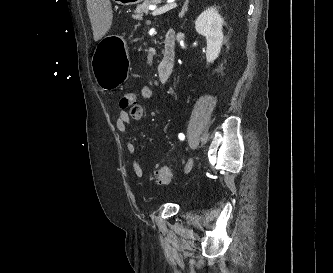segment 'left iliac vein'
Wrapping results in <instances>:
<instances>
[{
	"instance_id": "1",
	"label": "left iliac vein",
	"mask_w": 333,
	"mask_h": 273,
	"mask_svg": "<svg viewBox=\"0 0 333 273\" xmlns=\"http://www.w3.org/2000/svg\"><path fill=\"white\" fill-rule=\"evenodd\" d=\"M193 164H194V157H190V159L188 160V163L186 165V169H185V172H189L191 170V168L193 167Z\"/></svg>"
}]
</instances>
